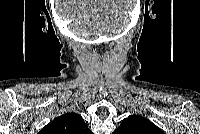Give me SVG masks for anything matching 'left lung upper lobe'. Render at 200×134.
<instances>
[{
  "label": "left lung upper lobe",
  "mask_w": 200,
  "mask_h": 134,
  "mask_svg": "<svg viewBox=\"0 0 200 134\" xmlns=\"http://www.w3.org/2000/svg\"><path fill=\"white\" fill-rule=\"evenodd\" d=\"M113 134H162V131L148 119L131 115L123 119Z\"/></svg>",
  "instance_id": "1"
}]
</instances>
